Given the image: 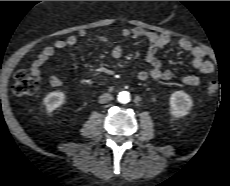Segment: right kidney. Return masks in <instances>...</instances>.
Here are the masks:
<instances>
[{
	"label": "right kidney",
	"mask_w": 230,
	"mask_h": 186,
	"mask_svg": "<svg viewBox=\"0 0 230 186\" xmlns=\"http://www.w3.org/2000/svg\"><path fill=\"white\" fill-rule=\"evenodd\" d=\"M65 94L61 91L51 92L44 99L43 103L47 113H52L64 103Z\"/></svg>",
	"instance_id": "ca27d5eb"
}]
</instances>
